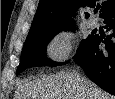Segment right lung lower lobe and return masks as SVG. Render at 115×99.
Wrapping results in <instances>:
<instances>
[{
    "label": "right lung lower lobe",
    "mask_w": 115,
    "mask_h": 99,
    "mask_svg": "<svg viewBox=\"0 0 115 99\" xmlns=\"http://www.w3.org/2000/svg\"><path fill=\"white\" fill-rule=\"evenodd\" d=\"M110 35L103 41L104 49L99 48L102 41L98 35H92L76 63L82 66L90 80L115 96V10L102 17Z\"/></svg>",
    "instance_id": "obj_1"
}]
</instances>
